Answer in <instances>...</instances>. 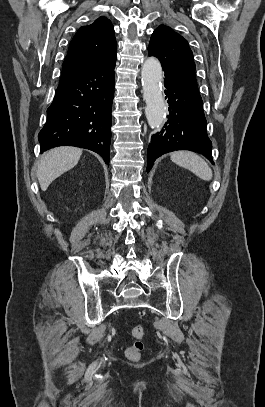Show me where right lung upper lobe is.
Here are the masks:
<instances>
[{
    "label": "right lung upper lobe",
    "mask_w": 265,
    "mask_h": 407,
    "mask_svg": "<svg viewBox=\"0 0 265 407\" xmlns=\"http://www.w3.org/2000/svg\"><path fill=\"white\" fill-rule=\"evenodd\" d=\"M116 47L113 25L109 19L99 17L94 23L80 27L69 44L60 83L115 57Z\"/></svg>",
    "instance_id": "right-lung-upper-lobe-1"
}]
</instances>
